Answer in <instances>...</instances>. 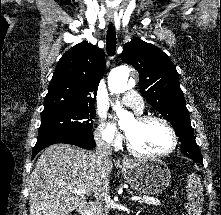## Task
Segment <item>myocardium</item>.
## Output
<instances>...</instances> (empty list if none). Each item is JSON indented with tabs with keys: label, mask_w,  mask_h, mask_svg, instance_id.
I'll return each mask as SVG.
<instances>
[{
	"label": "myocardium",
	"mask_w": 221,
	"mask_h": 215,
	"mask_svg": "<svg viewBox=\"0 0 221 215\" xmlns=\"http://www.w3.org/2000/svg\"><path fill=\"white\" fill-rule=\"evenodd\" d=\"M136 120L139 123H147L150 121H158L160 123H162L167 130L169 131L170 135H171V139H172V143L171 146L168 150L164 151V152H160V153H144L140 150H138L133 143L131 142L130 138L126 137V146L127 149L135 156L141 157V158H161V157H165L170 155L171 153H173L175 151V149L177 148L178 145V136L176 134L175 129L173 128V126L170 124L169 121H167L165 118L158 116V115H139L136 117Z\"/></svg>",
	"instance_id": "1"
}]
</instances>
